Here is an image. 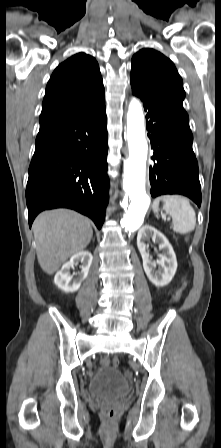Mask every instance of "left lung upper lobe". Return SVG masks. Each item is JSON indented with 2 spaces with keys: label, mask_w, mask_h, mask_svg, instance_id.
<instances>
[{
  "label": "left lung upper lobe",
  "mask_w": 221,
  "mask_h": 448,
  "mask_svg": "<svg viewBox=\"0 0 221 448\" xmlns=\"http://www.w3.org/2000/svg\"><path fill=\"white\" fill-rule=\"evenodd\" d=\"M130 82L133 94L143 102L189 126L188 115L182 106L185 98L183 81L170 59L154 49L139 50L132 57Z\"/></svg>",
  "instance_id": "5c2ea615"
}]
</instances>
